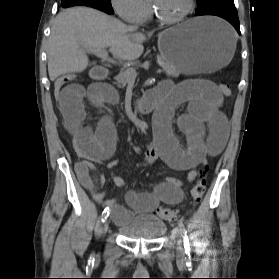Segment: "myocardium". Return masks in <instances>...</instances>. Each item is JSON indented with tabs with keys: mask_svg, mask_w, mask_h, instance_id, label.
<instances>
[{
	"mask_svg": "<svg viewBox=\"0 0 279 279\" xmlns=\"http://www.w3.org/2000/svg\"><path fill=\"white\" fill-rule=\"evenodd\" d=\"M149 6H150L153 17L159 23L165 24V25H174V24L184 21L186 18H188L192 14V12L195 8V0H188V7L179 16H177L175 18H164L157 12L156 8L152 4H149Z\"/></svg>",
	"mask_w": 279,
	"mask_h": 279,
	"instance_id": "1",
	"label": "myocardium"
}]
</instances>
